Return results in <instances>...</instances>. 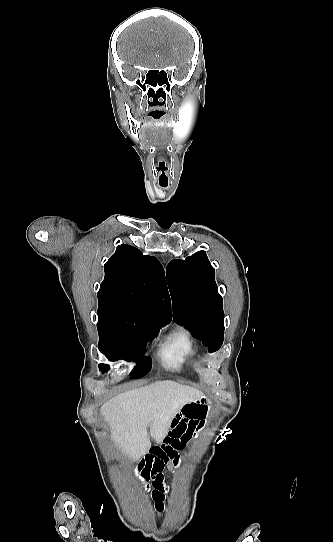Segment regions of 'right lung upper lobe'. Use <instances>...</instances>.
Listing matches in <instances>:
<instances>
[{
  "mask_svg": "<svg viewBox=\"0 0 333 542\" xmlns=\"http://www.w3.org/2000/svg\"><path fill=\"white\" fill-rule=\"evenodd\" d=\"M104 270V281L98 292V312L141 318L151 328L171 321L165 272L157 258L123 244L117 247Z\"/></svg>",
  "mask_w": 333,
  "mask_h": 542,
  "instance_id": "right-lung-upper-lobe-1",
  "label": "right lung upper lobe"
}]
</instances>
